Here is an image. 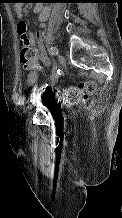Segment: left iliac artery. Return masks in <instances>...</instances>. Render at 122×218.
<instances>
[{
	"label": "left iliac artery",
	"instance_id": "obj_1",
	"mask_svg": "<svg viewBox=\"0 0 122 218\" xmlns=\"http://www.w3.org/2000/svg\"><path fill=\"white\" fill-rule=\"evenodd\" d=\"M49 52H50L51 55H54V56H55V55L58 54V49H57L56 47H50ZM47 86H48V83H45L42 87H40V88L38 89L37 93L43 92V91L46 89ZM35 96H36L35 93H33V94L31 95V97H30V102L33 101V99L35 98Z\"/></svg>",
	"mask_w": 122,
	"mask_h": 218
}]
</instances>
